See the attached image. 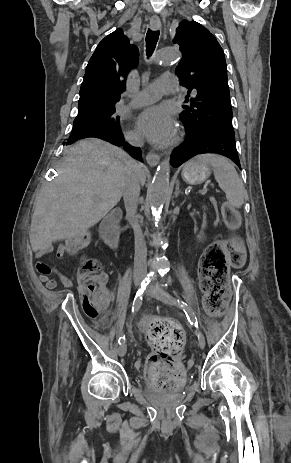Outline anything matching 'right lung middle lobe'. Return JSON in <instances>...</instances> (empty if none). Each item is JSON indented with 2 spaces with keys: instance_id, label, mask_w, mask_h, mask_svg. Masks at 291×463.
<instances>
[{
  "instance_id": "dd1d6c3e",
  "label": "right lung middle lobe",
  "mask_w": 291,
  "mask_h": 463,
  "mask_svg": "<svg viewBox=\"0 0 291 463\" xmlns=\"http://www.w3.org/2000/svg\"><path fill=\"white\" fill-rule=\"evenodd\" d=\"M114 113L115 107H109L93 114L76 117L69 139H75L95 132L119 130L120 119Z\"/></svg>"
}]
</instances>
